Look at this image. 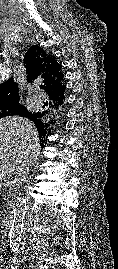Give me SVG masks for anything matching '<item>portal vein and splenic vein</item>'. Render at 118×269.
Segmentation results:
<instances>
[{"instance_id": "1", "label": "portal vein and splenic vein", "mask_w": 118, "mask_h": 269, "mask_svg": "<svg viewBox=\"0 0 118 269\" xmlns=\"http://www.w3.org/2000/svg\"><path fill=\"white\" fill-rule=\"evenodd\" d=\"M0 177H4V171L2 173L0 172Z\"/></svg>"}]
</instances>
